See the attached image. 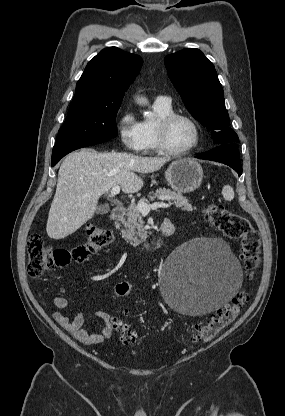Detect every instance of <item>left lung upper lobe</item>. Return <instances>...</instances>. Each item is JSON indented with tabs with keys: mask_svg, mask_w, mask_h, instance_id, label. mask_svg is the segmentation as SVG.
<instances>
[{
	"mask_svg": "<svg viewBox=\"0 0 285 416\" xmlns=\"http://www.w3.org/2000/svg\"><path fill=\"white\" fill-rule=\"evenodd\" d=\"M164 62L186 108L211 131L214 143H237L238 136L229 127L223 88L214 65L194 48L167 55Z\"/></svg>",
	"mask_w": 285,
	"mask_h": 416,
	"instance_id": "left-lung-upper-lobe-1",
	"label": "left lung upper lobe"
}]
</instances>
